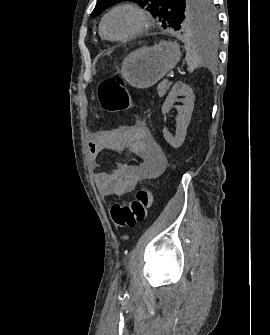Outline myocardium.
<instances>
[{"instance_id": "f54148a6", "label": "myocardium", "mask_w": 270, "mask_h": 335, "mask_svg": "<svg viewBox=\"0 0 270 335\" xmlns=\"http://www.w3.org/2000/svg\"><path fill=\"white\" fill-rule=\"evenodd\" d=\"M121 9H129L133 12H135L141 19V25L140 27L131 32V33H128L126 35H123L121 37H111L108 35V33L106 32V28H105V24H106V20L108 19V17L118 11V10H121ZM151 22H152V19L150 17L149 14H147V12L140 6L136 5V4H133V3H124V4H120L114 8H112L110 11H108L102 18L101 22H100V30H101V33L103 34V36L109 40H112V41H125V40H129V39H132V38H135L143 33H145L151 26ZM134 52H140L139 50H136ZM126 78H132V77H126Z\"/></svg>"}]
</instances>
